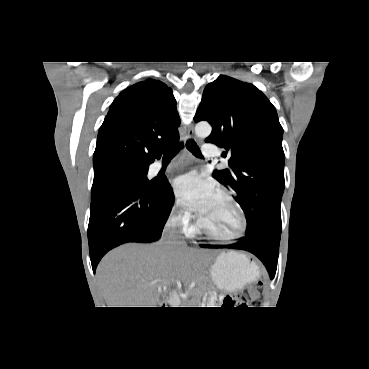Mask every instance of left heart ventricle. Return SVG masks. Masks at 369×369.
<instances>
[{
	"mask_svg": "<svg viewBox=\"0 0 369 369\" xmlns=\"http://www.w3.org/2000/svg\"><path fill=\"white\" fill-rule=\"evenodd\" d=\"M206 228L222 236L235 235L240 228V218L235 208L217 195L200 217Z\"/></svg>",
	"mask_w": 369,
	"mask_h": 369,
	"instance_id": "left-heart-ventricle-1",
	"label": "left heart ventricle"
}]
</instances>
